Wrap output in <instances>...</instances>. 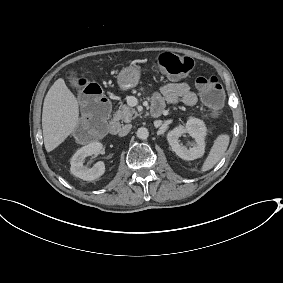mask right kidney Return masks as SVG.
I'll return each mask as SVG.
<instances>
[{"instance_id":"ca27d5eb","label":"right kidney","mask_w":283,"mask_h":283,"mask_svg":"<svg viewBox=\"0 0 283 283\" xmlns=\"http://www.w3.org/2000/svg\"><path fill=\"white\" fill-rule=\"evenodd\" d=\"M103 145L100 142H92L76 151L72 156L70 164L71 173L85 181H92L105 172V164L102 161L97 162L92 168H88L83 165L87 156L93 154H100L102 152Z\"/></svg>"}]
</instances>
